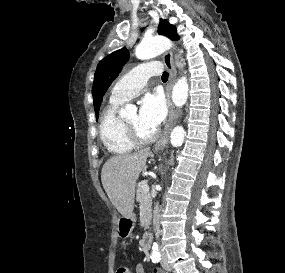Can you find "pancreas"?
Returning a JSON list of instances; mask_svg holds the SVG:
<instances>
[{"label":"pancreas","instance_id":"1","mask_svg":"<svg viewBox=\"0 0 285 273\" xmlns=\"http://www.w3.org/2000/svg\"><path fill=\"white\" fill-rule=\"evenodd\" d=\"M145 182H140L137 185V191H136V200L139 202L141 206L144 207V212L146 213V218H150V212H151V195L150 193H147L143 190L142 186Z\"/></svg>","mask_w":285,"mask_h":273}]
</instances>
